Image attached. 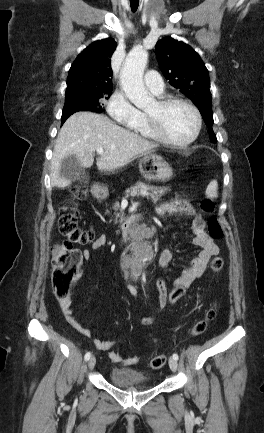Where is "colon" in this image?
<instances>
[{
    "instance_id": "obj_1",
    "label": "colon",
    "mask_w": 264,
    "mask_h": 433,
    "mask_svg": "<svg viewBox=\"0 0 264 433\" xmlns=\"http://www.w3.org/2000/svg\"><path fill=\"white\" fill-rule=\"evenodd\" d=\"M72 195L76 199H83L87 195L86 186L82 183L72 187ZM200 208L205 214H210L207 221V231L212 238L219 239L223 236V230L216 216L212 215L213 202L203 199ZM59 230L65 239L52 247L51 263L53 268V291L57 298L69 296L70 286L76 277L81 265L82 256L75 245H87L95 240V234L90 229H84L79 225V210L75 204L66 203L61 208L59 218ZM224 264L223 258L214 256L210 261V269L219 271ZM185 294L183 286H175L166 298L162 308L173 307ZM217 306H211L204 317L198 320L190 329L191 336L203 334L208 324L216 316ZM166 357L162 354L153 356L149 360L152 369H160L164 366Z\"/></svg>"
}]
</instances>
